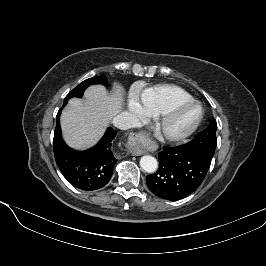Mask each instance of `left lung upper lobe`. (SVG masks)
Wrapping results in <instances>:
<instances>
[{
	"label": "left lung upper lobe",
	"mask_w": 266,
	"mask_h": 266,
	"mask_svg": "<svg viewBox=\"0 0 266 266\" xmlns=\"http://www.w3.org/2000/svg\"><path fill=\"white\" fill-rule=\"evenodd\" d=\"M216 121H212L209 126L202 132H200L192 141L189 142V145L194 150L200 152L208 161L211 162L216 144Z\"/></svg>",
	"instance_id": "1"
}]
</instances>
